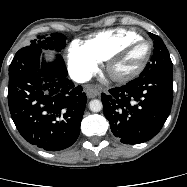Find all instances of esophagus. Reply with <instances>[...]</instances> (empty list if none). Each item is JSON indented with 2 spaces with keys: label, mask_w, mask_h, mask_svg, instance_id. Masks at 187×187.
Listing matches in <instances>:
<instances>
[{
  "label": "esophagus",
  "mask_w": 187,
  "mask_h": 187,
  "mask_svg": "<svg viewBox=\"0 0 187 187\" xmlns=\"http://www.w3.org/2000/svg\"><path fill=\"white\" fill-rule=\"evenodd\" d=\"M84 91L88 98H95L99 95V91L92 86H85Z\"/></svg>",
  "instance_id": "1"
}]
</instances>
